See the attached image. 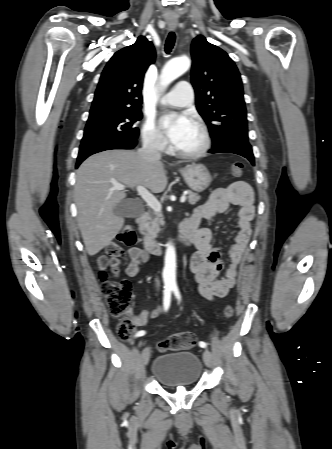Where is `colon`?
<instances>
[{
    "mask_svg": "<svg viewBox=\"0 0 332 449\" xmlns=\"http://www.w3.org/2000/svg\"><path fill=\"white\" fill-rule=\"evenodd\" d=\"M230 171L233 177H242L243 164L239 161L234 162ZM120 241L127 245L134 244L136 241L135 231L131 227H125L120 233ZM124 258V251L118 244L109 245L106 253L98 259V276L110 314L120 320L117 327L118 335L121 339L128 340L135 330L134 322L127 316L132 299V285L128 280H110L107 272L110 268L113 273H117ZM223 315L227 319L232 318L234 308L232 306L225 307ZM195 340V335L191 332L175 333L160 341L158 349L162 352L189 349L194 346Z\"/></svg>",
    "mask_w": 332,
    "mask_h": 449,
    "instance_id": "colon-1",
    "label": "colon"
}]
</instances>
